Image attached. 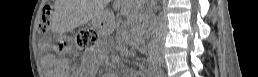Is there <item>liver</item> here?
Returning a JSON list of instances; mask_svg holds the SVG:
<instances>
[{"mask_svg": "<svg viewBox=\"0 0 258 77\" xmlns=\"http://www.w3.org/2000/svg\"><path fill=\"white\" fill-rule=\"evenodd\" d=\"M55 8L57 16L69 29L83 24L100 12L97 7L84 0H57Z\"/></svg>", "mask_w": 258, "mask_h": 77, "instance_id": "1", "label": "liver"}]
</instances>
